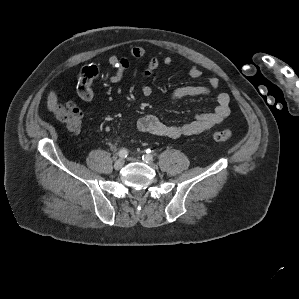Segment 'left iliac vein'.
Here are the masks:
<instances>
[{
	"mask_svg": "<svg viewBox=\"0 0 299 299\" xmlns=\"http://www.w3.org/2000/svg\"><path fill=\"white\" fill-rule=\"evenodd\" d=\"M129 160H131V161H139V159H136V158H130ZM149 164L151 166H155L151 161L149 162Z\"/></svg>",
	"mask_w": 299,
	"mask_h": 299,
	"instance_id": "obj_1",
	"label": "left iliac vein"
}]
</instances>
